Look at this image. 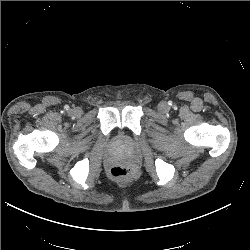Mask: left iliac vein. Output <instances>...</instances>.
I'll return each mask as SVG.
<instances>
[{"label":"left iliac vein","instance_id":"left-iliac-vein-1","mask_svg":"<svg viewBox=\"0 0 250 250\" xmlns=\"http://www.w3.org/2000/svg\"><path fill=\"white\" fill-rule=\"evenodd\" d=\"M158 109L162 113H167L169 111V106L166 102H161L158 106Z\"/></svg>","mask_w":250,"mask_h":250}]
</instances>
